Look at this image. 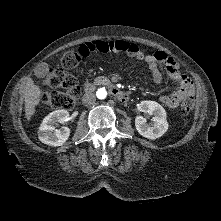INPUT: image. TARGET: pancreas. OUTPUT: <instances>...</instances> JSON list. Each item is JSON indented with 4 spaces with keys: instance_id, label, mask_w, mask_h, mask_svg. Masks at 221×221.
<instances>
[{
    "instance_id": "pancreas-1",
    "label": "pancreas",
    "mask_w": 221,
    "mask_h": 221,
    "mask_svg": "<svg viewBox=\"0 0 221 221\" xmlns=\"http://www.w3.org/2000/svg\"><path fill=\"white\" fill-rule=\"evenodd\" d=\"M94 83L97 85L107 84V83H109V80L106 77L99 76V77L95 78Z\"/></svg>"
}]
</instances>
